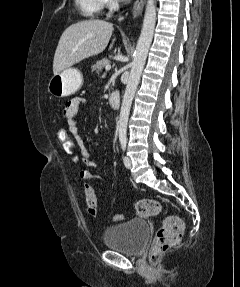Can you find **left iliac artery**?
Wrapping results in <instances>:
<instances>
[{"label":"left iliac artery","mask_w":240,"mask_h":287,"mask_svg":"<svg viewBox=\"0 0 240 287\" xmlns=\"http://www.w3.org/2000/svg\"><path fill=\"white\" fill-rule=\"evenodd\" d=\"M120 143H121V147H122V149H123V151L125 150V148H126V140H121L120 141Z\"/></svg>","instance_id":"left-iliac-artery-1"}]
</instances>
